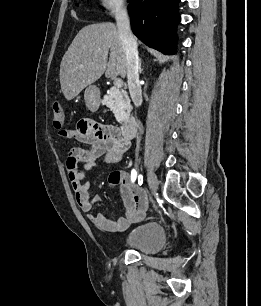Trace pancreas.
Listing matches in <instances>:
<instances>
[{"instance_id": "1", "label": "pancreas", "mask_w": 261, "mask_h": 306, "mask_svg": "<svg viewBox=\"0 0 261 306\" xmlns=\"http://www.w3.org/2000/svg\"><path fill=\"white\" fill-rule=\"evenodd\" d=\"M103 104L110 108L118 122L125 121L131 111L130 100L125 91L112 87L104 96Z\"/></svg>"}]
</instances>
